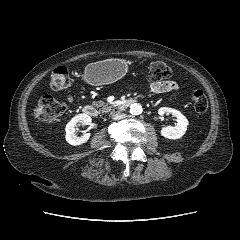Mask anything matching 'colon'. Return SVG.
I'll return each mask as SVG.
<instances>
[{"mask_svg": "<svg viewBox=\"0 0 240 240\" xmlns=\"http://www.w3.org/2000/svg\"><path fill=\"white\" fill-rule=\"evenodd\" d=\"M171 70L163 61H155L149 67V77L154 81H161L170 76ZM50 86L53 90H64L70 86V76L66 67H57L54 69ZM193 107L198 115H202L208 108V101L204 92L197 88L191 92ZM70 100V97L68 98ZM67 103L59 101L50 95L44 96L36 105L35 114L38 117L46 119H55L65 113Z\"/></svg>", "mask_w": 240, "mask_h": 240, "instance_id": "1", "label": "colon"}]
</instances>
